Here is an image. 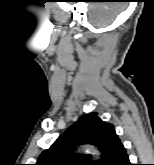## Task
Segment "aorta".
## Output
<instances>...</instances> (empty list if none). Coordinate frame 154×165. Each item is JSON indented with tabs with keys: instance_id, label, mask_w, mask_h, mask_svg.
<instances>
[{
	"instance_id": "obj_1",
	"label": "aorta",
	"mask_w": 154,
	"mask_h": 165,
	"mask_svg": "<svg viewBox=\"0 0 154 165\" xmlns=\"http://www.w3.org/2000/svg\"><path fill=\"white\" fill-rule=\"evenodd\" d=\"M83 149L88 151V152L93 153L94 155H97V156L100 155L99 151L96 148L92 147V146H87V147H84Z\"/></svg>"
}]
</instances>
